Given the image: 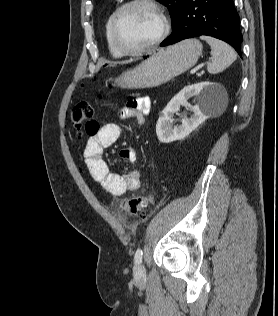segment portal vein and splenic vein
Wrapping results in <instances>:
<instances>
[{
    "mask_svg": "<svg viewBox=\"0 0 278 316\" xmlns=\"http://www.w3.org/2000/svg\"><path fill=\"white\" fill-rule=\"evenodd\" d=\"M196 71H197V69H196V68H193V69H191V70H190V74H192V75H193V74H195V73H196Z\"/></svg>",
    "mask_w": 278,
    "mask_h": 316,
    "instance_id": "obj_1",
    "label": "portal vein and splenic vein"
}]
</instances>
